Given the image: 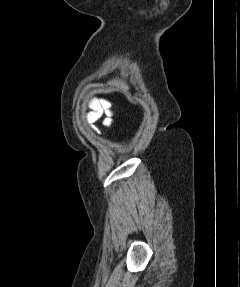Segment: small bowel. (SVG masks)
<instances>
[{
  "label": "small bowel",
  "mask_w": 240,
  "mask_h": 287,
  "mask_svg": "<svg viewBox=\"0 0 240 287\" xmlns=\"http://www.w3.org/2000/svg\"><path fill=\"white\" fill-rule=\"evenodd\" d=\"M88 106L90 108V112H88L85 116L88 123L92 124L95 123L97 120H99L103 114L102 109L98 103V101L94 99L88 100ZM92 129L99 133L98 129L96 127H92Z\"/></svg>",
  "instance_id": "c3829d8e"
}]
</instances>
